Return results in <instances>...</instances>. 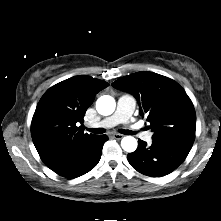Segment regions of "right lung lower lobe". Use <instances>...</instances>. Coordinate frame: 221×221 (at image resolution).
<instances>
[{"instance_id":"obj_1","label":"right lung lower lobe","mask_w":221,"mask_h":221,"mask_svg":"<svg viewBox=\"0 0 221 221\" xmlns=\"http://www.w3.org/2000/svg\"><path fill=\"white\" fill-rule=\"evenodd\" d=\"M106 135L97 136L79 155L63 168L55 171L66 178H76L93 169L100 160Z\"/></svg>"}]
</instances>
